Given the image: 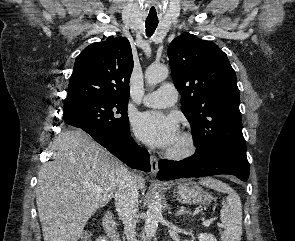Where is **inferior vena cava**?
I'll return each instance as SVG.
<instances>
[{
    "instance_id": "inferior-vena-cava-1",
    "label": "inferior vena cava",
    "mask_w": 295,
    "mask_h": 241,
    "mask_svg": "<svg viewBox=\"0 0 295 241\" xmlns=\"http://www.w3.org/2000/svg\"><path fill=\"white\" fill-rule=\"evenodd\" d=\"M115 184V207L123 221L126 238L128 241H137L135 227L139 191L133 174L121 166L116 172Z\"/></svg>"
}]
</instances>
